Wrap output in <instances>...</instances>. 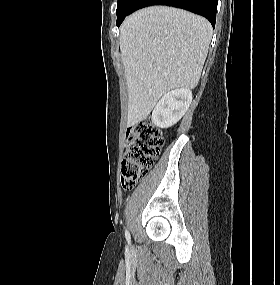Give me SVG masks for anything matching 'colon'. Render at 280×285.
I'll return each mask as SVG.
<instances>
[{"label": "colon", "mask_w": 280, "mask_h": 285, "mask_svg": "<svg viewBox=\"0 0 280 285\" xmlns=\"http://www.w3.org/2000/svg\"><path fill=\"white\" fill-rule=\"evenodd\" d=\"M164 145V137L149 120L135 123L127 133V144L121 165V185L133 189L152 167Z\"/></svg>", "instance_id": "colon-1"}]
</instances>
